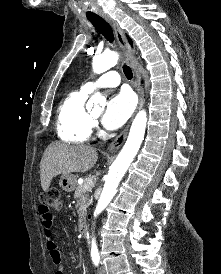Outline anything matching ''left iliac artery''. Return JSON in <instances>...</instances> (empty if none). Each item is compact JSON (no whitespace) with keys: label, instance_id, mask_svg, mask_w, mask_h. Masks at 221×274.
Returning a JSON list of instances; mask_svg holds the SVG:
<instances>
[{"label":"left iliac artery","instance_id":"1","mask_svg":"<svg viewBox=\"0 0 221 274\" xmlns=\"http://www.w3.org/2000/svg\"><path fill=\"white\" fill-rule=\"evenodd\" d=\"M92 260H93V263H94L95 266L99 265L100 257H99L98 254L92 255Z\"/></svg>","mask_w":221,"mask_h":274}]
</instances>
